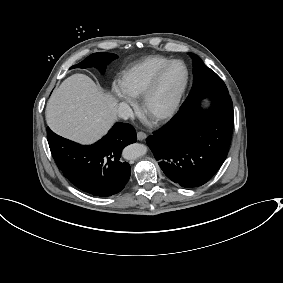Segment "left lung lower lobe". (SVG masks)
I'll return each mask as SVG.
<instances>
[{
	"label": "left lung lower lobe",
	"mask_w": 283,
	"mask_h": 283,
	"mask_svg": "<svg viewBox=\"0 0 283 283\" xmlns=\"http://www.w3.org/2000/svg\"><path fill=\"white\" fill-rule=\"evenodd\" d=\"M208 110L200 102L180 109L146 140L165 175L185 188L208 182L228 154L234 125L229 95L210 97Z\"/></svg>",
	"instance_id": "0a47b994"
}]
</instances>
